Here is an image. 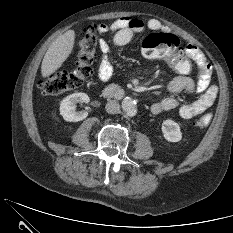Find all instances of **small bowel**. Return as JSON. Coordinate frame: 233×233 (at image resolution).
I'll return each instance as SVG.
<instances>
[{
  "label": "small bowel",
  "mask_w": 233,
  "mask_h": 233,
  "mask_svg": "<svg viewBox=\"0 0 233 233\" xmlns=\"http://www.w3.org/2000/svg\"><path fill=\"white\" fill-rule=\"evenodd\" d=\"M97 28L101 32L113 34L111 43L100 40L101 57L97 65V77L101 83L107 82L113 73L111 53L121 46L128 44L133 37L145 29L152 31L164 30V25L157 19L147 22L125 16L116 19L109 25L99 24ZM184 52L192 60L197 68V78L194 80L187 75L173 78L166 86L169 93L187 92L200 93V96L191 103H182L173 96L165 97L154 102L150 110L154 114L176 110L181 118L190 119L203 113L213 105L218 94V87L211 84V65L205 54L194 45H187Z\"/></svg>",
  "instance_id": "small-bowel-1"
}]
</instances>
